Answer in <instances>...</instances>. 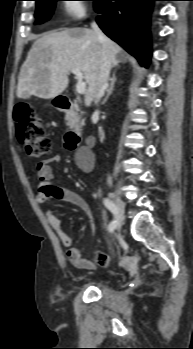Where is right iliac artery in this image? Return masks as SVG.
<instances>
[{"label": "right iliac artery", "instance_id": "right-iliac-artery-1", "mask_svg": "<svg viewBox=\"0 0 193 349\" xmlns=\"http://www.w3.org/2000/svg\"><path fill=\"white\" fill-rule=\"evenodd\" d=\"M103 204L111 213L114 214L112 217L115 219L117 217L115 215V213H116L115 204L111 200H109L108 198L103 199ZM116 226H117V221L113 220L108 226V231L113 232L115 230Z\"/></svg>", "mask_w": 193, "mask_h": 349}]
</instances>
